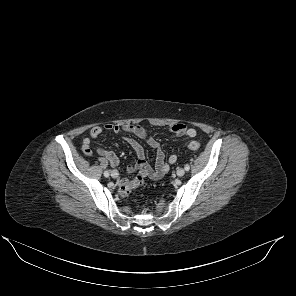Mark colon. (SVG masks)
<instances>
[{"label":"colon","mask_w":296,"mask_h":296,"mask_svg":"<svg viewBox=\"0 0 296 296\" xmlns=\"http://www.w3.org/2000/svg\"><path fill=\"white\" fill-rule=\"evenodd\" d=\"M188 148L191 150H198L200 148V144L197 141H191L188 143ZM142 183H143V177L141 175H137L128 183H125L120 187L121 196L123 197L128 196L133 188L140 186Z\"/></svg>","instance_id":"5ec220e1"}]
</instances>
